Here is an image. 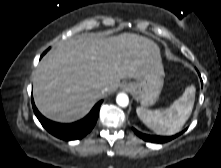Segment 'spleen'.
Masks as SVG:
<instances>
[{
    "label": "spleen",
    "instance_id": "1",
    "mask_svg": "<svg viewBox=\"0 0 221 168\" xmlns=\"http://www.w3.org/2000/svg\"><path fill=\"white\" fill-rule=\"evenodd\" d=\"M195 100V87L189 86L183 95L164 110L136 109L141 121L159 135H173L180 131L191 115Z\"/></svg>",
    "mask_w": 221,
    "mask_h": 168
}]
</instances>
